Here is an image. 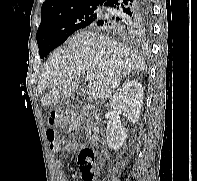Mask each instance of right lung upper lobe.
Segmentation results:
<instances>
[{
  "instance_id": "right-lung-upper-lobe-1",
  "label": "right lung upper lobe",
  "mask_w": 197,
  "mask_h": 181,
  "mask_svg": "<svg viewBox=\"0 0 197 181\" xmlns=\"http://www.w3.org/2000/svg\"><path fill=\"white\" fill-rule=\"evenodd\" d=\"M108 0H46L41 7V20L79 7L104 5Z\"/></svg>"
}]
</instances>
